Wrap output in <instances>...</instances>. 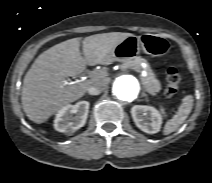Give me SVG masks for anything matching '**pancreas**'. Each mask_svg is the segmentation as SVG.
Instances as JSON below:
<instances>
[{
    "label": "pancreas",
    "mask_w": 212,
    "mask_h": 183,
    "mask_svg": "<svg viewBox=\"0 0 212 183\" xmlns=\"http://www.w3.org/2000/svg\"><path fill=\"white\" fill-rule=\"evenodd\" d=\"M146 60L140 56H136L133 59L123 62L124 68H130L137 72H141V65ZM147 75L140 76V80L143 84L144 89L151 95L155 96L161 90V83L156 79L155 74L152 72L150 67L146 68Z\"/></svg>",
    "instance_id": "pancreas-1"
}]
</instances>
